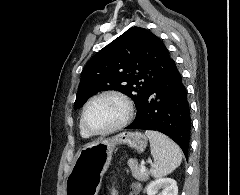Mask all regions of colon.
<instances>
[{"mask_svg":"<svg viewBox=\"0 0 240 195\" xmlns=\"http://www.w3.org/2000/svg\"><path fill=\"white\" fill-rule=\"evenodd\" d=\"M110 195H117V189L115 187L112 188V191L110 192Z\"/></svg>","mask_w":240,"mask_h":195,"instance_id":"colon-1","label":"colon"}]
</instances>
